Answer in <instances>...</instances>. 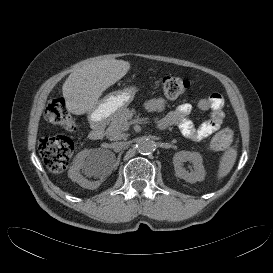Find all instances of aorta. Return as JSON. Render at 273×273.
Masks as SVG:
<instances>
[{"instance_id": "obj_1", "label": "aorta", "mask_w": 273, "mask_h": 273, "mask_svg": "<svg viewBox=\"0 0 273 273\" xmlns=\"http://www.w3.org/2000/svg\"><path fill=\"white\" fill-rule=\"evenodd\" d=\"M155 150V143L150 139H143L137 144V151L140 154L148 155Z\"/></svg>"}]
</instances>
